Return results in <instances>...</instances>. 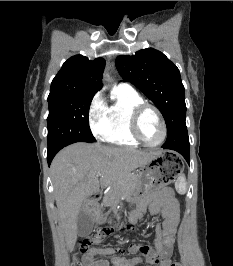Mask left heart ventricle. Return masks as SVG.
Instances as JSON below:
<instances>
[{"mask_svg":"<svg viewBox=\"0 0 233 266\" xmlns=\"http://www.w3.org/2000/svg\"><path fill=\"white\" fill-rule=\"evenodd\" d=\"M140 133L143 139L151 144L157 143L162 137L160 120L153 110H146L140 119Z\"/></svg>","mask_w":233,"mask_h":266,"instance_id":"left-heart-ventricle-1","label":"left heart ventricle"}]
</instances>
